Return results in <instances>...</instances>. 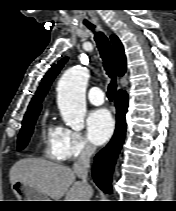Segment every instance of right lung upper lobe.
<instances>
[{
  "instance_id": "cb5924a9",
  "label": "right lung upper lobe",
  "mask_w": 176,
  "mask_h": 211,
  "mask_svg": "<svg viewBox=\"0 0 176 211\" xmlns=\"http://www.w3.org/2000/svg\"><path fill=\"white\" fill-rule=\"evenodd\" d=\"M110 39L113 45L116 72L118 76H122L126 71V57L124 54V49L117 36L112 35ZM67 59H68L67 57L63 58L56 65H54V67H52L48 71V73L44 76L35 96L33 97L32 101L30 102L28 106V110L25 116L40 112L41 107H42L41 102L43 98L48 92V89L52 81L57 76V74L59 73V71L65 64V62L67 61Z\"/></svg>"
}]
</instances>
